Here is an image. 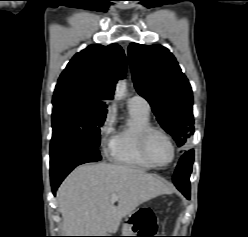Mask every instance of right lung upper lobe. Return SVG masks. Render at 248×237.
<instances>
[{"label": "right lung upper lobe", "instance_id": "cb5924a9", "mask_svg": "<svg viewBox=\"0 0 248 237\" xmlns=\"http://www.w3.org/2000/svg\"><path fill=\"white\" fill-rule=\"evenodd\" d=\"M127 60L117 44L90 45L68 63L55 87L53 102L69 101L105 111L115 84L125 76Z\"/></svg>", "mask_w": 248, "mask_h": 237}]
</instances>
